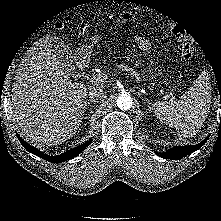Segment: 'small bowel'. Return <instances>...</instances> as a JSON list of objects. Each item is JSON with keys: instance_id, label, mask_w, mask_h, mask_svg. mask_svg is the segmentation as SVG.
<instances>
[{"instance_id": "c3829d8e", "label": "small bowel", "mask_w": 221, "mask_h": 221, "mask_svg": "<svg viewBox=\"0 0 221 221\" xmlns=\"http://www.w3.org/2000/svg\"><path fill=\"white\" fill-rule=\"evenodd\" d=\"M134 41H135L136 45L142 50H147L149 48V42L142 37L136 36L134 38Z\"/></svg>"}]
</instances>
